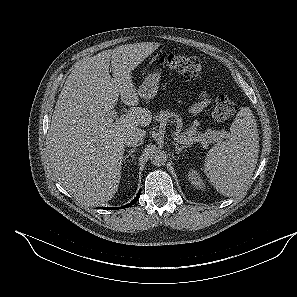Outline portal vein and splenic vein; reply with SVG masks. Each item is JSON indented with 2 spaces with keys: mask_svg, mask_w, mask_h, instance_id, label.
Segmentation results:
<instances>
[{
  "mask_svg": "<svg viewBox=\"0 0 297 297\" xmlns=\"http://www.w3.org/2000/svg\"><path fill=\"white\" fill-rule=\"evenodd\" d=\"M219 134V133H218ZM222 137V136H220ZM175 140H177L178 142L182 143V142H186V138L185 137H181L179 135H174ZM213 139L218 138L217 134H213L212 136ZM189 141H192V138H189Z\"/></svg>",
  "mask_w": 297,
  "mask_h": 297,
  "instance_id": "obj_1",
  "label": "portal vein and splenic vein"
}]
</instances>
